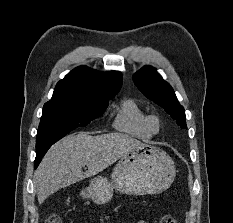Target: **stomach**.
Here are the masks:
<instances>
[{"label":"stomach","mask_w":233,"mask_h":223,"mask_svg":"<svg viewBox=\"0 0 233 223\" xmlns=\"http://www.w3.org/2000/svg\"><path fill=\"white\" fill-rule=\"evenodd\" d=\"M175 175L174 161L165 151L151 143H141L120 157L112 169L111 179L104 175L93 177L87 187L81 189L80 197L102 205L111 201L114 191L126 195H155L167 189Z\"/></svg>","instance_id":"1"}]
</instances>
